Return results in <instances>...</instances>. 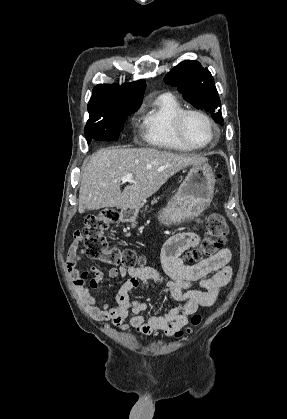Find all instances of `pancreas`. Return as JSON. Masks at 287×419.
<instances>
[{
	"mask_svg": "<svg viewBox=\"0 0 287 419\" xmlns=\"http://www.w3.org/2000/svg\"><path fill=\"white\" fill-rule=\"evenodd\" d=\"M156 202H157L156 200H153L151 203H152V204H155Z\"/></svg>",
	"mask_w": 287,
	"mask_h": 419,
	"instance_id": "1",
	"label": "pancreas"
}]
</instances>
